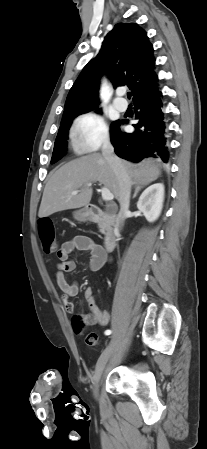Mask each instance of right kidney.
Returning a JSON list of instances; mask_svg holds the SVG:
<instances>
[{
    "label": "right kidney",
    "instance_id": "right-kidney-1",
    "mask_svg": "<svg viewBox=\"0 0 207 449\" xmlns=\"http://www.w3.org/2000/svg\"><path fill=\"white\" fill-rule=\"evenodd\" d=\"M163 201L164 185L156 183L144 190L137 202V208L149 222H154L160 216Z\"/></svg>",
    "mask_w": 207,
    "mask_h": 449
}]
</instances>
